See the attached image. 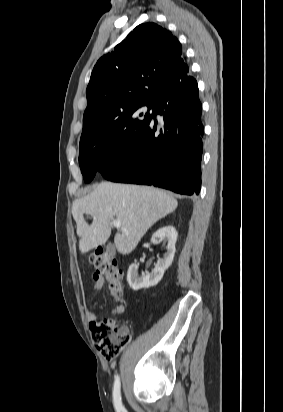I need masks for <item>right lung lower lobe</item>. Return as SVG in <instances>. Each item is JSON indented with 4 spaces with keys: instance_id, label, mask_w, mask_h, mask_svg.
I'll return each instance as SVG.
<instances>
[{
    "instance_id": "1",
    "label": "right lung lower lobe",
    "mask_w": 283,
    "mask_h": 412,
    "mask_svg": "<svg viewBox=\"0 0 283 412\" xmlns=\"http://www.w3.org/2000/svg\"><path fill=\"white\" fill-rule=\"evenodd\" d=\"M202 105L196 80L188 76L168 89L142 135L119 159L100 169L114 182L146 184L180 194L201 186ZM156 115H160L159 122Z\"/></svg>"
}]
</instances>
